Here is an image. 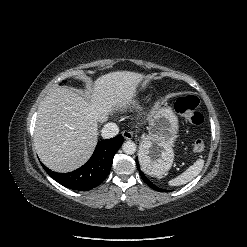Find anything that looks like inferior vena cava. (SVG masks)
I'll return each mask as SVG.
<instances>
[{
	"instance_id": "602c4592",
	"label": "inferior vena cava",
	"mask_w": 247,
	"mask_h": 247,
	"mask_svg": "<svg viewBox=\"0 0 247 247\" xmlns=\"http://www.w3.org/2000/svg\"><path fill=\"white\" fill-rule=\"evenodd\" d=\"M119 133V128L115 123H107L101 130V135L104 139L113 138Z\"/></svg>"
}]
</instances>
